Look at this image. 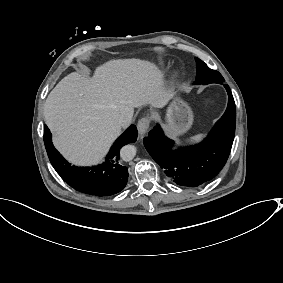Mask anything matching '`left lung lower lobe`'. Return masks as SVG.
Masks as SVG:
<instances>
[{
    "label": "left lung lower lobe",
    "mask_w": 283,
    "mask_h": 283,
    "mask_svg": "<svg viewBox=\"0 0 283 283\" xmlns=\"http://www.w3.org/2000/svg\"><path fill=\"white\" fill-rule=\"evenodd\" d=\"M224 87L228 93L227 109L203 142L173 150L174 142L158 124L143 140L154 161L177 185L197 187L210 181L228 159L235 134L236 108L229 86Z\"/></svg>",
    "instance_id": "left-lung-lower-lobe-1"
}]
</instances>
